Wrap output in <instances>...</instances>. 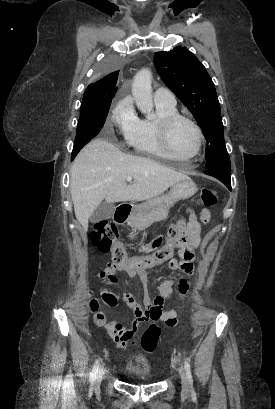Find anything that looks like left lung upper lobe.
I'll return each mask as SVG.
<instances>
[{
	"instance_id": "obj_1",
	"label": "left lung upper lobe",
	"mask_w": 275,
	"mask_h": 409,
	"mask_svg": "<svg viewBox=\"0 0 275 409\" xmlns=\"http://www.w3.org/2000/svg\"><path fill=\"white\" fill-rule=\"evenodd\" d=\"M154 63L162 80L191 111L204 132L207 141L206 168H219L231 173L220 104L214 83L205 67L185 47L156 52Z\"/></svg>"
}]
</instances>
